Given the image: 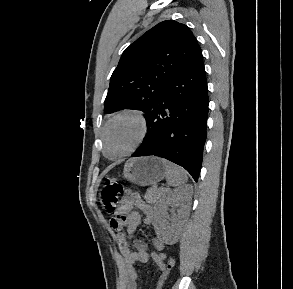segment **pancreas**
<instances>
[{
    "mask_svg": "<svg viewBox=\"0 0 293 289\" xmlns=\"http://www.w3.org/2000/svg\"><path fill=\"white\" fill-rule=\"evenodd\" d=\"M166 193L164 189H158L156 187L149 188L144 195L145 200L150 204H156L161 197H163Z\"/></svg>",
    "mask_w": 293,
    "mask_h": 289,
    "instance_id": "1",
    "label": "pancreas"
}]
</instances>
